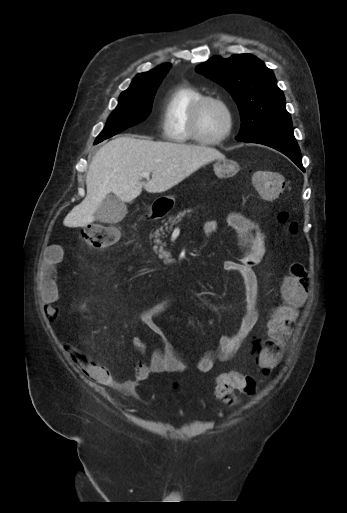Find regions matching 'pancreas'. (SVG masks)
Listing matches in <instances>:
<instances>
[{"mask_svg":"<svg viewBox=\"0 0 347 513\" xmlns=\"http://www.w3.org/2000/svg\"><path fill=\"white\" fill-rule=\"evenodd\" d=\"M191 212H193L192 209H187V210H184L183 212L177 213V215H170L167 217V220L165 221L164 225H162L161 227L156 229V231L154 232V237H155L154 242L157 245L160 244L161 246L159 249L157 246H154V250L156 253L159 254L160 258L167 256L168 253L166 251H164L163 246H166V245H165V243H162L159 240V237L162 234H165L164 233L165 231H168V229H171L174 225L181 222L185 216L191 217Z\"/></svg>","mask_w":347,"mask_h":513,"instance_id":"1","label":"pancreas"}]
</instances>
